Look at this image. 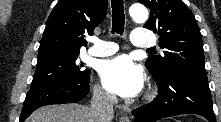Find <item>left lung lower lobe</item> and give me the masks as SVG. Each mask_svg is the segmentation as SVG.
<instances>
[{
  "mask_svg": "<svg viewBox=\"0 0 221 122\" xmlns=\"http://www.w3.org/2000/svg\"><path fill=\"white\" fill-rule=\"evenodd\" d=\"M158 97L132 111L136 122H154L179 114H200L216 122L206 71L182 68L158 79Z\"/></svg>",
  "mask_w": 221,
  "mask_h": 122,
  "instance_id": "left-lung-lower-lobe-1",
  "label": "left lung lower lobe"
}]
</instances>
